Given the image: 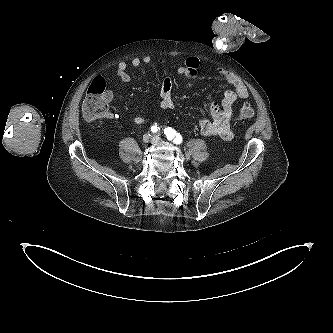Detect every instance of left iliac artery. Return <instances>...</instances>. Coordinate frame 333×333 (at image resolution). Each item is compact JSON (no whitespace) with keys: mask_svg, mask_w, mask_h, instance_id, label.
<instances>
[{"mask_svg":"<svg viewBox=\"0 0 333 333\" xmlns=\"http://www.w3.org/2000/svg\"><path fill=\"white\" fill-rule=\"evenodd\" d=\"M164 134L168 140H173L175 144H180L182 142V136L172 127H166L164 129Z\"/></svg>","mask_w":333,"mask_h":333,"instance_id":"obj_1","label":"left iliac artery"}]
</instances>
